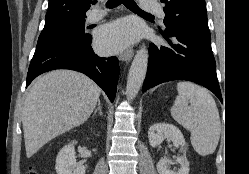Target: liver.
I'll use <instances>...</instances> for the list:
<instances>
[{
    "label": "liver",
    "instance_id": "obj_1",
    "mask_svg": "<svg viewBox=\"0 0 249 174\" xmlns=\"http://www.w3.org/2000/svg\"><path fill=\"white\" fill-rule=\"evenodd\" d=\"M100 92L90 78L72 70L38 77L22 109L27 158L53 138L83 124L95 109Z\"/></svg>",
    "mask_w": 249,
    "mask_h": 174
}]
</instances>
